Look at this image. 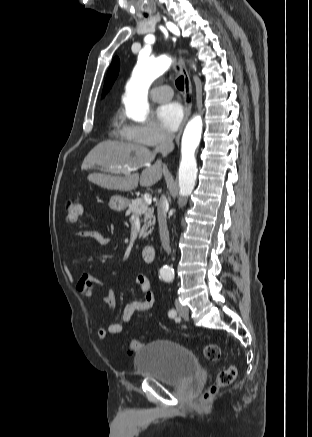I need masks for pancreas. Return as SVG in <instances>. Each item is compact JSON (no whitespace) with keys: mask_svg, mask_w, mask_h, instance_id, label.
I'll return each mask as SVG.
<instances>
[{"mask_svg":"<svg viewBox=\"0 0 312 437\" xmlns=\"http://www.w3.org/2000/svg\"><path fill=\"white\" fill-rule=\"evenodd\" d=\"M130 214H135L138 216L144 215V219L141 220L143 226L139 233L140 238H146L149 234H151V227L155 224L154 209L145 202L144 198H136L135 200H132V202L128 205V210L126 211L127 216ZM148 228H150V230H148Z\"/></svg>","mask_w":312,"mask_h":437,"instance_id":"pancreas-1","label":"pancreas"}]
</instances>
